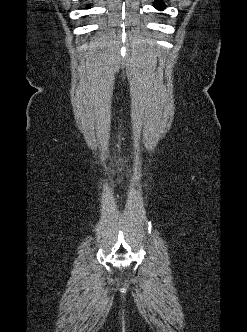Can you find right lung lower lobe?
I'll return each mask as SVG.
<instances>
[{
	"label": "right lung lower lobe",
	"instance_id": "98d812e1",
	"mask_svg": "<svg viewBox=\"0 0 247 332\" xmlns=\"http://www.w3.org/2000/svg\"><path fill=\"white\" fill-rule=\"evenodd\" d=\"M90 8V6H87L85 9H89Z\"/></svg>",
	"mask_w": 247,
	"mask_h": 332
}]
</instances>
